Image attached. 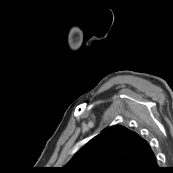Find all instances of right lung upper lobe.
Wrapping results in <instances>:
<instances>
[{"mask_svg": "<svg viewBox=\"0 0 173 173\" xmlns=\"http://www.w3.org/2000/svg\"><path fill=\"white\" fill-rule=\"evenodd\" d=\"M152 153L148 142L137 133L115 125L91 139L60 173H124Z\"/></svg>", "mask_w": 173, "mask_h": 173, "instance_id": "cb5924a9", "label": "right lung upper lobe"}]
</instances>
